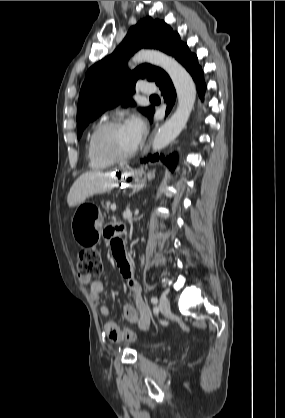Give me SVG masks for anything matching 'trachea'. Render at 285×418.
<instances>
[{"mask_svg":"<svg viewBox=\"0 0 285 418\" xmlns=\"http://www.w3.org/2000/svg\"><path fill=\"white\" fill-rule=\"evenodd\" d=\"M151 98H157V96L156 95H152Z\"/></svg>","mask_w":285,"mask_h":418,"instance_id":"1","label":"trachea"}]
</instances>
